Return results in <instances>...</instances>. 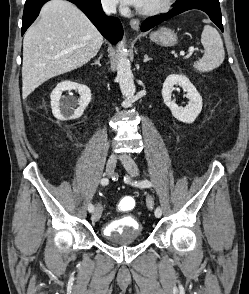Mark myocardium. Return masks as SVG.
Here are the masks:
<instances>
[{"mask_svg":"<svg viewBox=\"0 0 249 294\" xmlns=\"http://www.w3.org/2000/svg\"><path fill=\"white\" fill-rule=\"evenodd\" d=\"M174 1L175 0H165L162 4L149 9H142L139 7L137 11L143 15H157L167 11L172 6Z\"/></svg>","mask_w":249,"mask_h":294,"instance_id":"f54148a6","label":"myocardium"}]
</instances>
